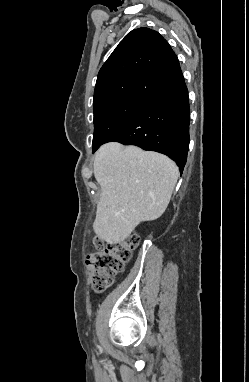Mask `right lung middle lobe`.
<instances>
[{
  "mask_svg": "<svg viewBox=\"0 0 249 382\" xmlns=\"http://www.w3.org/2000/svg\"><path fill=\"white\" fill-rule=\"evenodd\" d=\"M150 99L125 97L94 109L93 151L127 126Z\"/></svg>",
  "mask_w": 249,
  "mask_h": 382,
  "instance_id": "1",
  "label": "right lung middle lobe"
}]
</instances>
